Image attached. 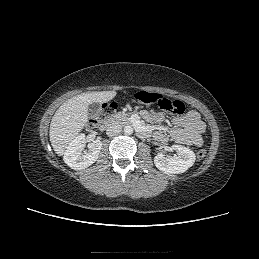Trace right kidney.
<instances>
[{
    "instance_id": "1",
    "label": "right kidney",
    "mask_w": 259,
    "mask_h": 259,
    "mask_svg": "<svg viewBox=\"0 0 259 259\" xmlns=\"http://www.w3.org/2000/svg\"><path fill=\"white\" fill-rule=\"evenodd\" d=\"M87 139L84 134L76 136L68 145L65 154L64 162L74 170H81L89 167L98 159L101 151L102 142L93 141L88 144V152L82 153Z\"/></svg>"
}]
</instances>
